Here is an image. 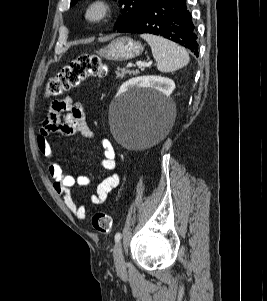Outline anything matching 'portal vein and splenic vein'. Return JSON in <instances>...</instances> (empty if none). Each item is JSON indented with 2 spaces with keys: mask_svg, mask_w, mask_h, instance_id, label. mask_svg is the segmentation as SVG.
<instances>
[{
  "mask_svg": "<svg viewBox=\"0 0 267 301\" xmlns=\"http://www.w3.org/2000/svg\"><path fill=\"white\" fill-rule=\"evenodd\" d=\"M151 64V62H149V63H144V62H139L138 64H137V66H139V67H141V68H144V67H147L148 65H150ZM134 64H132V63H129L127 66L128 67H132Z\"/></svg>",
  "mask_w": 267,
  "mask_h": 301,
  "instance_id": "1",
  "label": "portal vein and splenic vein"
}]
</instances>
